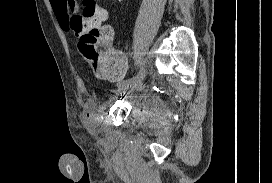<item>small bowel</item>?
Segmentation results:
<instances>
[{
	"mask_svg": "<svg viewBox=\"0 0 272 183\" xmlns=\"http://www.w3.org/2000/svg\"><path fill=\"white\" fill-rule=\"evenodd\" d=\"M50 3L53 8L54 14L57 17L61 26L64 29H68L67 24H66L67 14H68V0H50ZM106 27L110 30V32L112 34V38L109 41V44H110L111 48L116 52L119 59H118L117 64L113 68H111L110 70H108L104 73H98L97 75L103 79L108 80V81H117V80L121 79L122 77H124V75L127 71V59L120 51H118L112 47V42H113V38H114V30L110 26H106ZM87 117H89V112L84 113L82 116V118H84V119Z\"/></svg>",
	"mask_w": 272,
	"mask_h": 183,
	"instance_id": "small-bowel-1",
	"label": "small bowel"
}]
</instances>
